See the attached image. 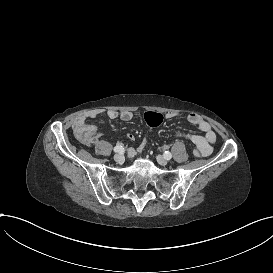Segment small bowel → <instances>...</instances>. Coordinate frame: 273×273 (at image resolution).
<instances>
[{"instance_id":"small-bowel-1","label":"small bowel","mask_w":273,"mask_h":273,"mask_svg":"<svg viewBox=\"0 0 273 273\" xmlns=\"http://www.w3.org/2000/svg\"><path fill=\"white\" fill-rule=\"evenodd\" d=\"M104 116L108 120L120 119L121 121L128 122L134 118V113L129 110H91L87 112L80 120H77L73 124V130L76 132V138L80 142H89L91 147L95 151H100L104 147V142L100 139L102 132L98 127L92 125L95 122V118ZM176 115L169 113L166 115L167 119H173ZM188 121L197 126L202 132L201 134H190L186 132H177L176 136L189 140L201 154V156H209L213 151V146L216 142V134L209 122L198 114H189L187 116ZM127 138L130 141L135 140L133 133H128ZM133 154H140L137 146L133 150Z\"/></svg>"}]
</instances>
